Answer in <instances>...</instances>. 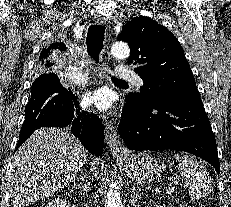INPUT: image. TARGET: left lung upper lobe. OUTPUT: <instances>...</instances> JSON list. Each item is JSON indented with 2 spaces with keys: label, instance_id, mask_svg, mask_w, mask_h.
Here are the masks:
<instances>
[{
  "label": "left lung upper lobe",
  "instance_id": "obj_1",
  "mask_svg": "<svg viewBox=\"0 0 231 207\" xmlns=\"http://www.w3.org/2000/svg\"><path fill=\"white\" fill-rule=\"evenodd\" d=\"M117 40L129 44L128 63L136 65L144 83L140 93H130L125 100L145 106L200 97L183 48L165 27L139 16L123 26Z\"/></svg>",
  "mask_w": 231,
  "mask_h": 207
}]
</instances>
